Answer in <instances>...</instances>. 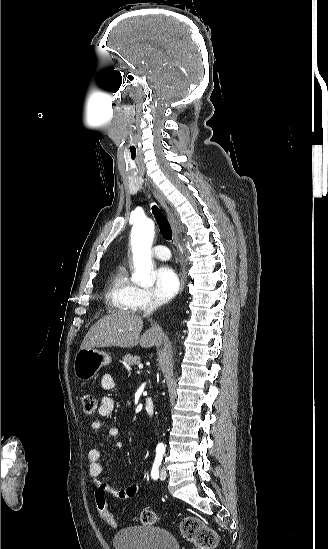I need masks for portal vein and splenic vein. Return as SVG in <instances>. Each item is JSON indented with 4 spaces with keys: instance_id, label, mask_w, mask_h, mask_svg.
<instances>
[{
    "instance_id": "18ae733b",
    "label": "portal vein and splenic vein",
    "mask_w": 328,
    "mask_h": 549,
    "mask_svg": "<svg viewBox=\"0 0 328 549\" xmlns=\"http://www.w3.org/2000/svg\"><path fill=\"white\" fill-rule=\"evenodd\" d=\"M139 369H143V365H138Z\"/></svg>"
}]
</instances>
